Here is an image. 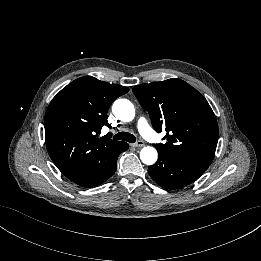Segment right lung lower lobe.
Listing matches in <instances>:
<instances>
[{
    "label": "right lung lower lobe",
    "instance_id": "obj_1",
    "mask_svg": "<svg viewBox=\"0 0 261 261\" xmlns=\"http://www.w3.org/2000/svg\"><path fill=\"white\" fill-rule=\"evenodd\" d=\"M127 149L128 145L119 152L109 155L97 168L69 179L82 187H96L101 185L115 173L117 157L119 153Z\"/></svg>",
    "mask_w": 261,
    "mask_h": 261
}]
</instances>
